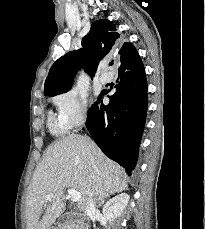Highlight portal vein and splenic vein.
<instances>
[{
	"label": "portal vein and splenic vein",
	"instance_id": "1",
	"mask_svg": "<svg viewBox=\"0 0 205 229\" xmlns=\"http://www.w3.org/2000/svg\"><path fill=\"white\" fill-rule=\"evenodd\" d=\"M67 193L72 202H77L81 199V193L75 189L70 188L67 190ZM51 197H52V194L47 195L48 199H51Z\"/></svg>",
	"mask_w": 205,
	"mask_h": 229
}]
</instances>
